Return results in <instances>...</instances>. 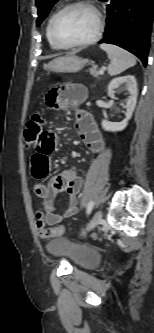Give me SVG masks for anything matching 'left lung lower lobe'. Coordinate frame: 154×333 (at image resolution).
Instances as JSON below:
<instances>
[{
  "label": "left lung lower lobe",
  "instance_id": "left-lung-lower-lobe-1",
  "mask_svg": "<svg viewBox=\"0 0 154 333\" xmlns=\"http://www.w3.org/2000/svg\"><path fill=\"white\" fill-rule=\"evenodd\" d=\"M107 3L106 31L99 43L120 46L147 66L154 0H102Z\"/></svg>",
  "mask_w": 154,
  "mask_h": 333
}]
</instances>
